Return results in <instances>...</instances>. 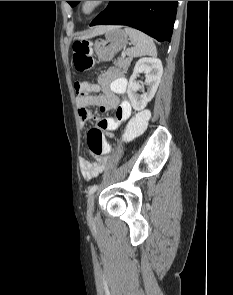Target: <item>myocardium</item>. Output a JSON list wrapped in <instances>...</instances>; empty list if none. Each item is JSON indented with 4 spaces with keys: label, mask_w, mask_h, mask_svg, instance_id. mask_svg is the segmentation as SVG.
<instances>
[{
    "label": "myocardium",
    "mask_w": 233,
    "mask_h": 295,
    "mask_svg": "<svg viewBox=\"0 0 233 295\" xmlns=\"http://www.w3.org/2000/svg\"><path fill=\"white\" fill-rule=\"evenodd\" d=\"M108 1H79L78 11L81 16L89 17L100 10Z\"/></svg>",
    "instance_id": "f54148a6"
}]
</instances>
